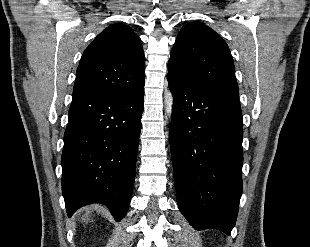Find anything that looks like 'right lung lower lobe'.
Wrapping results in <instances>:
<instances>
[{
    "label": "right lung lower lobe",
    "instance_id": "obj_1",
    "mask_svg": "<svg viewBox=\"0 0 310 247\" xmlns=\"http://www.w3.org/2000/svg\"><path fill=\"white\" fill-rule=\"evenodd\" d=\"M144 85L135 91L72 100L61 157L68 216L103 203L116 221L128 210L135 178Z\"/></svg>",
    "mask_w": 310,
    "mask_h": 247
}]
</instances>
